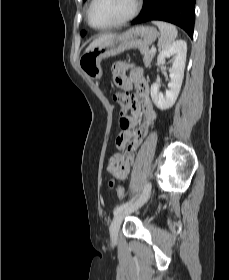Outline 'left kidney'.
<instances>
[{"label": "left kidney", "instance_id": "obj_1", "mask_svg": "<svg viewBox=\"0 0 229 280\" xmlns=\"http://www.w3.org/2000/svg\"><path fill=\"white\" fill-rule=\"evenodd\" d=\"M187 44L184 40H178L169 47L163 49L157 57V65H163L166 58L174 56L172 67L170 68L169 90L163 95L159 91V84L151 85V98L157 108L166 110L171 108L179 95L186 62Z\"/></svg>", "mask_w": 229, "mask_h": 280}]
</instances>
